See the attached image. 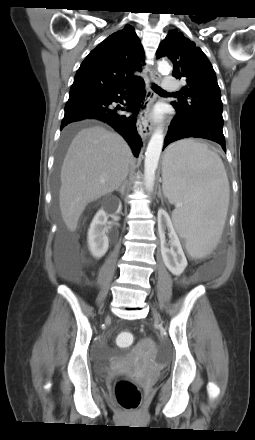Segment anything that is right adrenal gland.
<instances>
[{
	"label": "right adrenal gland",
	"mask_w": 255,
	"mask_h": 440,
	"mask_svg": "<svg viewBox=\"0 0 255 440\" xmlns=\"http://www.w3.org/2000/svg\"><path fill=\"white\" fill-rule=\"evenodd\" d=\"M125 190H126V182H124L120 188L116 189V191L120 192L122 197L125 195Z\"/></svg>",
	"instance_id": "1"
}]
</instances>
